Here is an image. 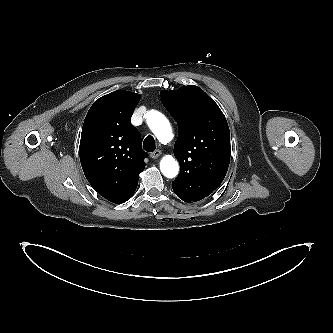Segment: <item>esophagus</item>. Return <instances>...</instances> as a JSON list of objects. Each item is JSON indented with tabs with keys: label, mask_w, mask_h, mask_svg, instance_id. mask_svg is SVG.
Masks as SVG:
<instances>
[{
	"label": "esophagus",
	"mask_w": 333,
	"mask_h": 333,
	"mask_svg": "<svg viewBox=\"0 0 333 333\" xmlns=\"http://www.w3.org/2000/svg\"><path fill=\"white\" fill-rule=\"evenodd\" d=\"M160 155H161V151H160V150H155V151H153L152 153H150V157H151L152 159H156V158H158Z\"/></svg>",
	"instance_id": "esophagus-1"
}]
</instances>
